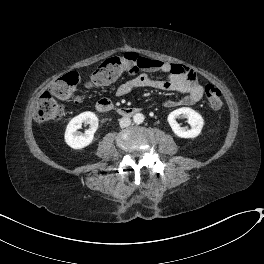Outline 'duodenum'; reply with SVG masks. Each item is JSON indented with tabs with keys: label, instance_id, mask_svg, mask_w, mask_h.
I'll return each instance as SVG.
<instances>
[{
	"label": "duodenum",
	"instance_id": "1",
	"mask_svg": "<svg viewBox=\"0 0 264 264\" xmlns=\"http://www.w3.org/2000/svg\"><path fill=\"white\" fill-rule=\"evenodd\" d=\"M96 110L100 113H108L113 110L112 103L108 99H101L96 103ZM116 113L123 117H132L140 112L137 107H119Z\"/></svg>",
	"mask_w": 264,
	"mask_h": 264
}]
</instances>
